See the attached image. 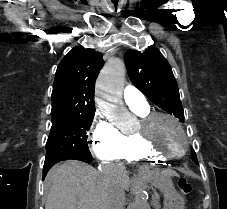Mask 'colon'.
Wrapping results in <instances>:
<instances>
[{
	"instance_id": "1",
	"label": "colon",
	"mask_w": 227,
	"mask_h": 209,
	"mask_svg": "<svg viewBox=\"0 0 227 209\" xmlns=\"http://www.w3.org/2000/svg\"><path fill=\"white\" fill-rule=\"evenodd\" d=\"M179 189L183 193H188L190 191V189H191L190 183L187 180H185V179L180 180ZM195 208L199 209V207H197V206Z\"/></svg>"
}]
</instances>
